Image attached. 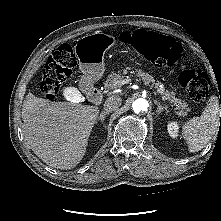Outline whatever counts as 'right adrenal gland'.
<instances>
[{"instance_id":"right-adrenal-gland-1","label":"right adrenal gland","mask_w":221,"mask_h":221,"mask_svg":"<svg viewBox=\"0 0 221 221\" xmlns=\"http://www.w3.org/2000/svg\"><path fill=\"white\" fill-rule=\"evenodd\" d=\"M109 115V112H102L96 119L95 124L98 123V121H100L101 123L104 122L105 117Z\"/></svg>"}]
</instances>
